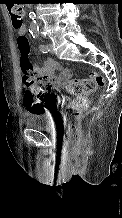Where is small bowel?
Segmentation results:
<instances>
[{
    "label": "small bowel",
    "instance_id": "c3829d8e",
    "mask_svg": "<svg viewBox=\"0 0 122 218\" xmlns=\"http://www.w3.org/2000/svg\"><path fill=\"white\" fill-rule=\"evenodd\" d=\"M18 33L26 34V27L22 26ZM32 71L40 85L49 86L55 90H60L72 76V71L69 68H62L51 58H46L42 65H32ZM56 71L59 72L58 75L54 74ZM40 112H42V107Z\"/></svg>",
    "mask_w": 122,
    "mask_h": 218
}]
</instances>
